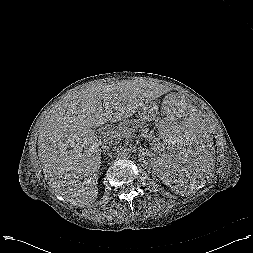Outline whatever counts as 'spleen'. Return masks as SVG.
<instances>
[{
  "instance_id": "3e777b00",
  "label": "spleen",
  "mask_w": 253,
  "mask_h": 253,
  "mask_svg": "<svg viewBox=\"0 0 253 253\" xmlns=\"http://www.w3.org/2000/svg\"><path fill=\"white\" fill-rule=\"evenodd\" d=\"M159 134L154 165L164 185L180 194L196 189L212 157L205 125L194 112L178 109L161 122Z\"/></svg>"
}]
</instances>
